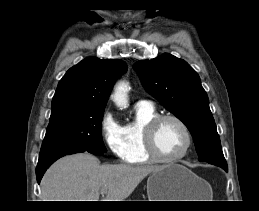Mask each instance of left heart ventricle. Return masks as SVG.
Here are the masks:
<instances>
[{"label":"left heart ventricle","mask_w":259,"mask_h":211,"mask_svg":"<svg viewBox=\"0 0 259 211\" xmlns=\"http://www.w3.org/2000/svg\"><path fill=\"white\" fill-rule=\"evenodd\" d=\"M186 137L181 127L172 120L163 121L156 131V146L165 157H174L182 152Z\"/></svg>","instance_id":"left-heart-ventricle-1"}]
</instances>
